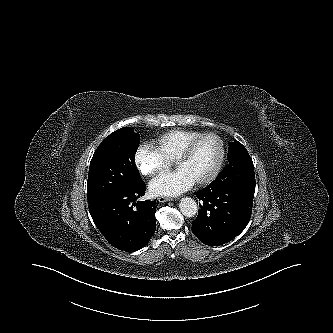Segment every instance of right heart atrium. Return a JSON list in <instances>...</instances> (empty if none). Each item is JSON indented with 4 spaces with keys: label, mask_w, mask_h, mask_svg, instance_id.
<instances>
[{
    "label": "right heart atrium",
    "mask_w": 333,
    "mask_h": 333,
    "mask_svg": "<svg viewBox=\"0 0 333 333\" xmlns=\"http://www.w3.org/2000/svg\"><path fill=\"white\" fill-rule=\"evenodd\" d=\"M134 163L138 171L146 177H156L172 165L171 161L165 159L147 145L138 147L134 154Z\"/></svg>",
    "instance_id": "1"
}]
</instances>
